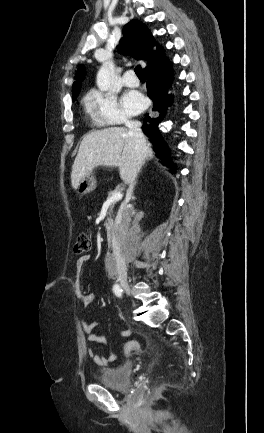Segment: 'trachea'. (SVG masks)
Wrapping results in <instances>:
<instances>
[{"label": "trachea", "instance_id": "trachea-1", "mask_svg": "<svg viewBox=\"0 0 264 433\" xmlns=\"http://www.w3.org/2000/svg\"><path fill=\"white\" fill-rule=\"evenodd\" d=\"M135 73L139 78H144V74H143L142 69L139 65L135 67Z\"/></svg>", "mask_w": 264, "mask_h": 433}]
</instances>
